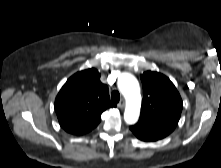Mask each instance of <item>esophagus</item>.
Wrapping results in <instances>:
<instances>
[{
  "instance_id": "obj_1",
  "label": "esophagus",
  "mask_w": 221,
  "mask_h": 168,
  "mask_svg": "<svg viewBox=\"0 0 221 168\" xmlns=\"http://www.w3.org/2000/svg\"><path fill=\"white\" fill-rule=\"evenodd\" d=\"M124 106H125V100H124V99H121V100L119 101V103H118V107H119V108H124Z\"/></svg>"
}]
</instances>
